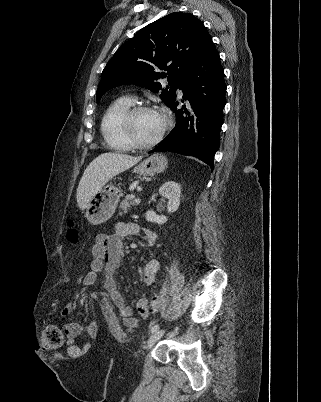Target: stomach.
<instances>
[{
	"mask_svg": "<svg viewBox=\"0 0 321 402\" xmlns=\"http://www.w3.org/2000/svg\"><path fill=\"white\" fill-rule=\"evenodd\" d=\"M166 166L167 159L165 156L153 154L136 166L134 172L144 176H151L162 172ZM121 196V191L113 185L101 188L88 203L85 212L87 220L95 225L109 220L113 216Z\"/></svg>",
	"mask_w": 321,
	"mask_h": 402,
	"instance_id": "0dacf381",
	"label": "stomach"
}]
</instances>
